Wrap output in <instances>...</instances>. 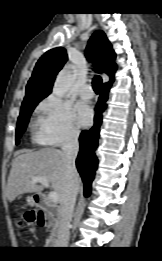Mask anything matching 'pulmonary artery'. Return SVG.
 <instances>
[{
  "instance_id": "e3ab8cb5",
  "label": "pulmonary artery",
  "mask_w": 162,
  "mask_h": 261,
  "mask_svg": "<svg viewBox=\"0 0 162 261\" xmlns=\"http://www.w3.org/2000/svg\"><path fill=\"white\" fill-rule=\"evenodd\" d=\"M79 95L83 99H90L93 97L94 92L90 84L83 85L79 90Z\"/></svg>"
}]
</instances>
